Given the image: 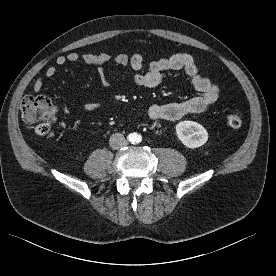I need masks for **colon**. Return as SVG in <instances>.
Instances as JSON below:
<instances>
[{
  "instance_id": "colon-1",
  "label": "colon",
  "mask_w": 276,
  "mask_h": 276,
  "mask_svg": "<svg viewBox=\"0 0 276 276\" xmlns=\"http://www.w3.org/2000/svg\"><path fill=\"white\" fill-rule=\"evenodd\" d=\"M22 120L30 126L35 134L52 138L55 108L51 98L45 94L28 95L21 102ZM243 117L237 111H231L226 116V125L231 129H239Z\"/></svg>"
}]
</instances>
